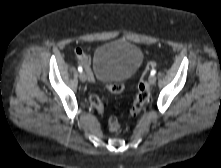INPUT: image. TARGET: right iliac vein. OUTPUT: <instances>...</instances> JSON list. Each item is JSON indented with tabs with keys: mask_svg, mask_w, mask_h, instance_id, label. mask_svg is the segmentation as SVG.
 <instances>
[{
	"mask_svg": "<svg viewBox=\"0 0 221 168\" xmlns=\"http://www.w3.org/2000/svg\"><path fill=\"white\" fill-rule=\"evenodd\" d=\"M79 78L82 82H86L88 79L87 74L85 72H81Z\"/></svg>",
	"mask_w": 221,
	"mask_h": 168,
	"instance_id": "right-iliac-vein-1",
	"label": "right iliac vein"
}]
</instances>
